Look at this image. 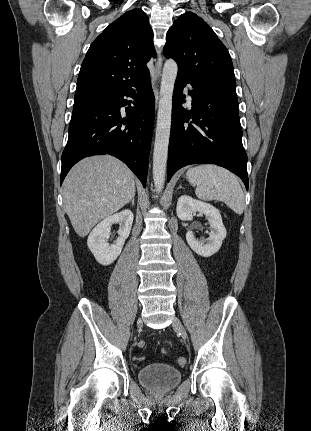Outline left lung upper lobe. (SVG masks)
Returning <instances> with one entry per match:
<instances>
[{"mask_svg":"<svg viewBox=\"0 0 311 431\" xmlns=\"http://www.w3.org/2000/svg\"><path fill=\"white\" fill-rule=\"evenodd\" d=\"M164 56L178 64V74L196 83L236 88L234 69L227 48L200 17L186 12L168 30Z\"/></svg>","mask_w":311,"mask_h":431,"instance_id":"1","label":"left lung upper lobe"}]
</instances>
